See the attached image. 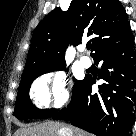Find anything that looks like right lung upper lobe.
Listing matches in <instances>:
<instances>
[{"label": "right lung upper lobe", "mask_w": 136, "mask_h": 136, "mask_svg": "<svg viewBox=\"0 0 136 136\" xmlns=\"http://www.w3.org/2000/svg\"><path fill=\"white\" fill-rule=\"evenodd\" d=\"M132 32L119 0H72L69 9L50 12L36 27L22 78L65 65L68 45L91 37L94 55ZM93 55V57H94Z\"/></svg>", "instance_id": "obj_1"}]
</instances>
